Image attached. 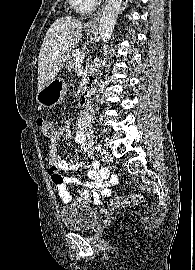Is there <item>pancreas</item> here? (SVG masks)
<instances>
[{
    "mask_svg": "<svg viewBox=\"0 0 195 270\" xmlns=\"http://www.w3.org/2000/svg\"><path fill=\"white\" fill-rule=\"evenodd\" d=\"M83 50L77 49L74 52L71 53L68 62H67V70L71 71L74 70L76 68V64H77V60H76V55L78 53H82Z\"/></svg>",
    "mask_w": 195,
    "mask_h": 270,
    "instance_id": "pancreas-1",
    "label": "pancreas"
}]
</instances>
